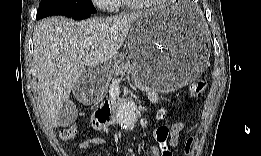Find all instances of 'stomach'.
<instances>
[{"label": "stomach", "instance_id": "obj_1", "mask_svg": "<svg viewBox=\"0 0 261 156\" xmlns=\"http://www.w3.org/2000/svg\"><path fill=\"white\" fill-rule=\"evenodd\" d=\"M186 2H168L144 12L133 23L128 46L139 67L141 87L155 85L160 91L181 88L202 73L208 62V41L196 31ZM123 61L117 54L108 62L88 69L82 79L90 95H101L108 85L109 70Z\"/></svg>", "mask_w": 261, "mask_h": 156}]
</instances>
